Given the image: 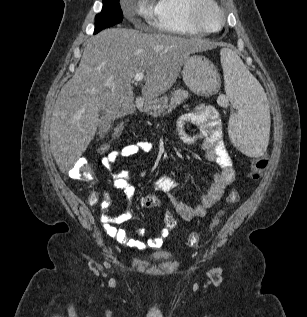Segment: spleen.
Listing matches in <instances>:
<instances>
[{
    "label": "spleen",
    "mask_w": 307,
    "mask_h": 317,
    "mask_svg": "<svg viewBox=\"0 0 307 317\" xmlns=\"http://www.w3.org/2000/svg\"><path fill=\"white\" fill-rule=\"evenodd\" d=\"M220 56L226 94L239 110L229 119V137L244 154L260 156L269 140L270 115L265 93L234 51L224 48Z\"/></svg>",
    "instance_id": "spleen-1"
}]
</instances>
